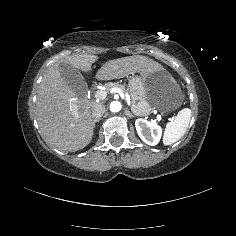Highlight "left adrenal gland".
<instances>
[{
	"label": "left adrenal gland",
	"mask_w": 236,
	"mask_h": 236,
	"mask_svg": "<svg viewBox=\"0 0 236 236\" xmlns=\"http://www.w3.org/2000/svg\"><path fill=\"white\" fill-rule=\"evenodd\" d=\"M125 114L130 118L134 117L127 108L125 109Z\"/></svg>",
	"instance_id": "left-adrenal-gland-1"
}]
</instances>
